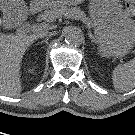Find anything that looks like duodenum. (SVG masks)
<instances>
[{"mask_svg": "<svg viewBox=\"0 0 135 135\" xmlns=\"http://www.w3.org/2000/svg\"><path fill=\"white\" fill-rule=\"evenodd\" d=\"M9 25H13V24L9 23ZM29 27H30V24L28 22H24V23H21L18 26H16L15 29L20 34H23L29 29Z\"/></svg>", "mask_w": 135, "mask_h": 135, "instance_id": "1", "label": "duodenum"}]
</instances>
